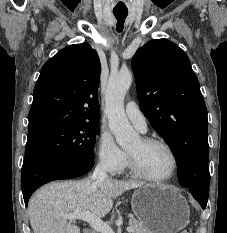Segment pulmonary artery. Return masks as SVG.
<instances>
[{
    "label": "pulmonary artery",
    "mask_w": 227,
    "mask_h": 233,
    "mask_svg": "<svg viewBox=\"0 0 227 233\" xmlns=\"http://www.w3.org/2000/svg\"><path fill=\"white\" fill-rule=\"evenodd\" d=\"M125 113L131 123L141 132L147 131L146 117L134 101H129L125 105Z\"/></svg>",
    "instance_id": "e3ab8cb5"
}]
</instances>
